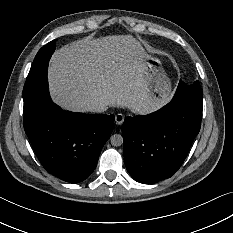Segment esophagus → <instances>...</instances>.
<instances>
[{"instance_id":"34e87169","label":"esophagus","mask_w":233,"mask_h":233,"mask_svg":"<svg viewBox=\"0 0 233 233\" xmlns=\"http://www.w3.org/2000/svg\"><path fill=\"white\" fill-rule=\"evenodd\" d=\"M115 122L118 125H121L124 122V115L119 113L115 116Z\"/></svg>"}]
</instances>
